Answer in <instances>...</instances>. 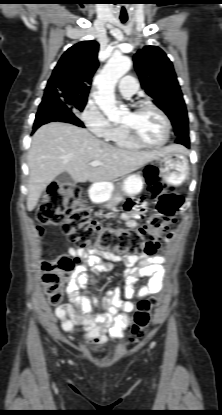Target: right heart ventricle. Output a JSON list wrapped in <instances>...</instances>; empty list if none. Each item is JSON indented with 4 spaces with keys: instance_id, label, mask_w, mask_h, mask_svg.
<instances>
[{
    "instance_id": "obj_1",
    "label": "right heart ventricle",
    "mask_w": 222,
    "mask_h": 415,
    "mask_svg": "<svg viewBox=\"0 0 222 415\" xmlns=\"http://www.w3.org/2000/svg\"><path fill=\"white\" fill-rule=\"evenodd\" d=\"M108 140L120 148L137 149L140 147L130 139L122 125L116 126Z\"/></svg>"
}]
</instances>
